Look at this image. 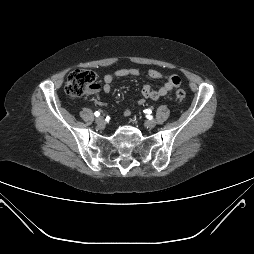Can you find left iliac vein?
Segmentation results:
<instances>
[{
  "label": "left iliac vein",
  "instance_id": "4c4485c4",
  "mask_svg": "<svg viewBox=\"0 0 254 254\" xmlns=\"http://www.w3.org/2000/svg\"><path fill=\"white\" fill-rule=\"evenodd\" d=\"M145 125L148 128H154L156 126V121L155 120H148V121H146Z\"/></svg>",
  "mask_w": 254,
  "mask_h": 254
}]
</instances>
